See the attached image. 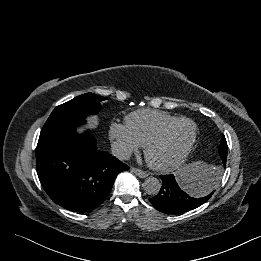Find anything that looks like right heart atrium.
<instances>
[{"instance_id":"obj_1","label":"right heart atrium","mask_w":261,"mask_h":261,"mask_svg":"<svg viewBox=\"0 0 261 261\" xmlns=\"http://www.w3.org/2000/svg\"><path fill=\"white\" fill-rule=\"evenodd\" d=\"M108 136L113 151L121 158H127L140 148V144L123 123L112 122L108 128Z\"/></svg>"}]
</instances>
